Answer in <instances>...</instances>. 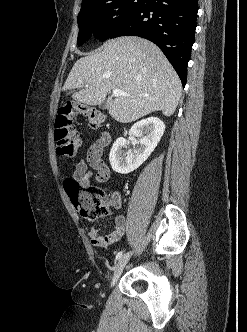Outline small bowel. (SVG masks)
<instances>
[{
	"instance_id": "c3829d8e",
	"label": "small bowel",
	"mask_w": 247,
	"mask_h": 332,
	"mask_svg": "<svg viewBox=\"0 0 247 332\" xmlns=\"http://www.w3.org/2000/svg\"><path fill=\"white\" fill-rule=\"evenodd\" d=\"M110 136L107 133H102L99 139L90 147L87 160L81 159L73 172L72 179L77 181L83 188L90 186L91 178L94 177L98 183L108 181L110 177V169L102 160V153L104 148L109 144ZM88 165L94 170H90ZM111 204L115 209H120L122 206V197L119 192H114L111 196ZM126 218L124 215H116L113 221L112 230L100 235L99 230L90 228L88 230V237L93 246L106 247L119 241L125 232Z\"/></svg>"
}]
</instances>
